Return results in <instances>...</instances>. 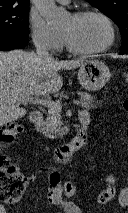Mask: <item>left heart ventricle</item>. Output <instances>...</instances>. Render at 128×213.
Masks as SVG:
<instances>
[{"instance_id":"left-heart-ventricle-1","label":"left heart ventricle","mask_w":128,"mask_h":213,"mask_svg":"<svg viewBox=\"0 0 128 213\" xmlns=\"http://www.w3.org/2000/svg\"><path fill=\"white\" fill-rule=\"evenodd\" d=\"M62 33L67 34L77 47L86 50L103 47L110 37L107 24L97 16H86L79 20L70 17Z\"/></svg>"}]
</instances>
